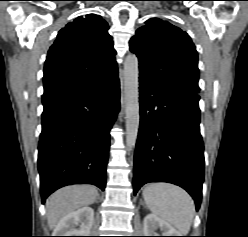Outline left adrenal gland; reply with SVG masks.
I'll use <instances>...</instances> for the list:
<instances>
[{"instance_id": "a2214340", "label": "left adrenal gland", "mask_w": 248, "mask_h": 237, "mask_svg": "<svg viewBox=\"0 0 248 237\" xmlns=\"http://www.w3.org/2000/svg\"><path fill=\"white\" fill-rule=\"evenodd\" d=\"M140 204H143V201L142 200H140Z\"/></svg>"}]
</instances>
